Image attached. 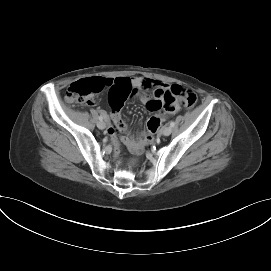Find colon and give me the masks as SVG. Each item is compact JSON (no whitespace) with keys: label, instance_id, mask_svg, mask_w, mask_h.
Here are the masks:
<instances>
[{"label":"colon","instance_id":"obj_1","mask_svg":"<svg viewBox=\"0 0 271 271\" xmlns=\"http://www.w3.org/2000/svg\"><path fill=\"white\" fill-rule=\"evenodd\" d=\"M106 80L104 78L94 77L82 79L72 83L66 91V100L71 103H79L83 105H91L95 95L105 89ZM163 105L166 108H171L175 104H182L185 108H192L196 104V94L179 85H172L170 88L163 91L161 94ZM123 105V104H122ZM160 125V120L150 118L147 123L148 133L143 137L137 145L138 148L148 147L152 143L151 134L154 133Z\"/></svg>","mask_w":271,"mask_h":271}]
</instances>
